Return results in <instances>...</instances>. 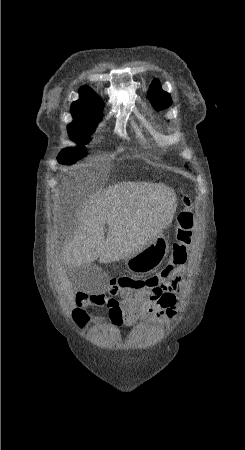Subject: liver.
<instances>
[{
    "instance_id": "obj_1",
    "label": "liver",
    "mask_w": 245,
    "mask_h": 450,
    "mask_svg": "<svg viewBox=\"0 0 245 450\" xmlns=\"http://www.w3.org/2000/svg\"><path fill=\"white\" fill-rule=\"evenodd\" d=\"M176 200L173 189L149 182H120L87 195L77 213V229L60 255V282L70 301L74 303L67 270L98 258L111 263L134 255L167 228Z\"/></svg>"
}]
</instances>
